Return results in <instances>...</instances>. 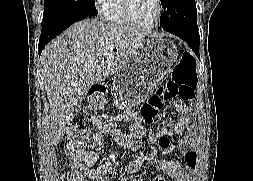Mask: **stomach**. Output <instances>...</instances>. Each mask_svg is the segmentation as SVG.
<instances>
[{
    "label": "stomach",
    "instance_id": "obj_1",
    "mask_svg": "<svg viewBox=\"0 0 253 181\" xmlns=\"http://www.w3.org/2000/svg\"><path fill=\"white\" fill-rule=\"evenodd\" d=\"M178 50L167 39L149 38L138 47L113 77L114 103L128 109L143 102L170 73L177 61ZM102 99H95L101 103Z\"/></svg>",
    "mask_w": 253,
    "mask_h": 181
}]
</instances>
